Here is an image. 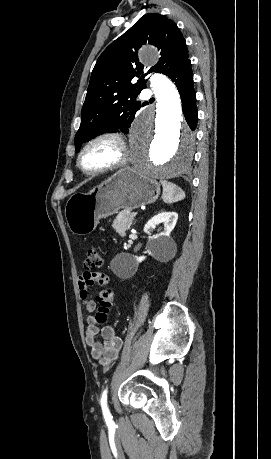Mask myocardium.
Wrapping results in <instances>:
<instances>
[{
	"label": "myocardium",
	"instance_id": "obj_1",
	"mask_svg": "<svg viewBox=\"0 0 271 459\" xmlns=\"http://www.w3.org/2000/svg\"><path fill=\"white\" fill-rule=\"evenodd\" d=\"M103 138H110L112 139L116 145H117V155L116 157L104 164V165H101L93 170H85L83 167H82V164H81V160H82V156L84 154V152L87 150V148L95 141L99 140V139H103ZM128 144L123 136V134L116 130V129H103L101 131H98L96 132L95 134L91 135L90 137H88L84 142L83 144L81 145L77 155H76V166L78 168V170L83 174V175H86V176H94V175H97L99 173H102V172H105V171H108V170H112V169H116L120 166H122L127 158H128Z\"/></svg>",
	"mask_w": 271,
	"mask_h": 459
}]
</instances>
